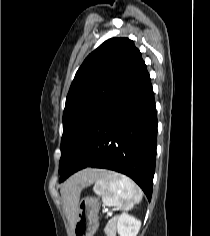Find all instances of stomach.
<instances>
[{"label":"stomach","mask_w":210,"mask_h":236,"mask_svg":"<svg viewBox=\"0 0 210 236\" xmlns=\"http://www.w3.org/2000/svg\"><path fill=\"white\" fill-rule=\"evenodd\" d=\"M99 209L100 203L96 198L85 197L80 201L73 236H93L99 225Z\"/></svg>","instance_id":"1"}]
</instances>
